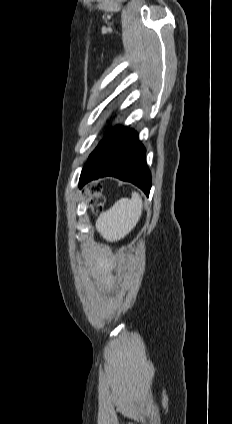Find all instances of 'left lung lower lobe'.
<instances>
[{"instance_id": "left-lung-lower-lobe-1", "label": "left lung lower lobe", "mask_w": 232, "mask_h": 424, "mask_svg": "<svg viewBox=\"0 0 232 424\" xmlns=\"http://www.w3.org/2000/svg\"><path fill=\"white\" fill-rule=\"evenodd\" d=\"M145 148L132 129L115 127L90 154L82 170L79 187L104 176L132 182L149 196L151 174L146 165Z\"/></svg>"}]
</instances>
